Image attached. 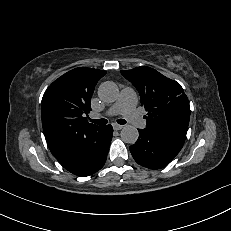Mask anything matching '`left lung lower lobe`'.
Returning <instances> with one entry per match:
<instances>
[{"label":"left lung lower lobe","mask_w":231,"mask_h":231,"mask_svg":"<svg viewBox=\"0 0 231 231\" xmlns=\"http://www.w3.org/2000/svg\"><path fill=\"white\" fill-rule=\"evenodd\" d=\"M184 141L185 138L167 132L150 128L139 129V138L130 146V151L139 165L160 169L179 153Z\"/></svg>","instance_id":"obj_1"}]
</instances>
